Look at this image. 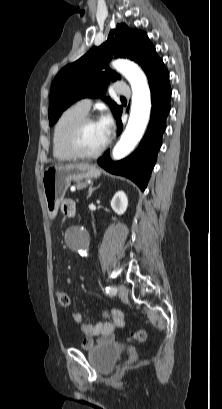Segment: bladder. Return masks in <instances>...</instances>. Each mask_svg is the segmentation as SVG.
Returning a JSON list of instances; mask_svg holds the SVG:
<instances>
[{"mask_svg":"<svg viewBox=\"0 0 222 409\" xmlns=\"http://www.w3.org/2000/svg\"><path fill=\"white\" fill-rule=\"evenodd\" d=\"M124 349L115 342H106L93 346L88 350V358L92 366L101 373L110 372Z\"/></svg>","mask_w":222,"mask_h":409,"instance_id":"bladder-1","label":"bladder"}]
</instances>
